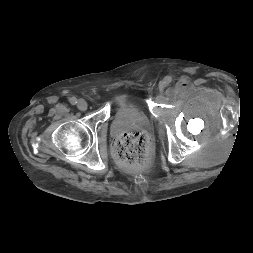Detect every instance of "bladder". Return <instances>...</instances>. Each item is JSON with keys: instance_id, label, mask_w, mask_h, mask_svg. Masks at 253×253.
<instances>
[{"instance_id": "obj_1", "label": "bladder", "mask_w": 253, "mask_h": 253, "mask_svg": "<svg viewBox=\"0 0 253 253\" xmlns=\"http://www.w3.org/2000/svg\"><path fill=\"white\" fill-rule=\"evenodd\" d=\"M134 97L132 92L122 91L115 96L114 102L117 106H122L130 102Z\"/></svg>"}]
</instances>
